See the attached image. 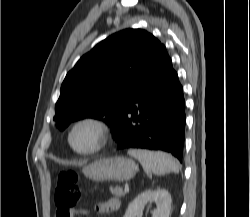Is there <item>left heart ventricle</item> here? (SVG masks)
<instances>
[{
  "label": "left heart ventricle",
  "instance_id": "obj_1",
  "mask_svg": "<svg viewBox=\"0 0 250 217\" xmlns=\"http://www.w3.org/2000/svg\"><path fill=\"white\" fill-rule=\"evenodd\" d=\"M95 142V134L92 128L84 126L77 129L72 136V143L77 149H86Z\"/></svg>",
  "mask_w": 250,
  "mask_h": 217
}]
</instances>
